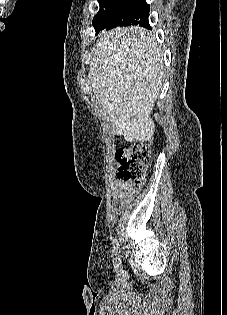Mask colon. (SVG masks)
I'll return each mask as SVG.
<instances>
[{"mask_svg":"<svg viewBox=\"0 0 227 315\" xmlns=\"http://www.w3.org/2000/svg\"><path fill=\"white\" fill-rule=\"evenodd\" d=\"M115 158L119 163L117 178L132 188L139 189L145 182L146 170L152 159L149 145L136 143L128 149L118 150Z\"/></svg>","mask_w":227,"mask_h":315,"instance_id":"obj_1","label":"colon"}]
</instances>
